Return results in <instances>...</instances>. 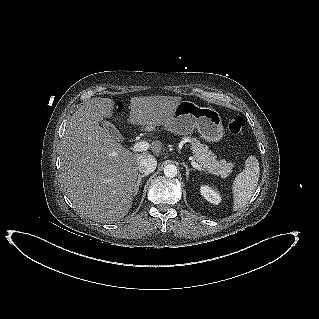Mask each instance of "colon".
Returning <instances> with one entry per match:
<instances>
[{
	"label": "colon",
	"mask_w": 319,
	"mask_h": 319,
	"mask_svg": "<svg viewBox=\"0 0 319 319\" xmlns=\"http://www.w3.org/2000/svg\"><path fill=\"white\" fill-rule=\"evenodd\" d=\"M244 121L241 117H233L228 120V131L233 135L243 133Z\"/></svg>",
	"instance_id": "5ec220e1"
}]
</instances>
